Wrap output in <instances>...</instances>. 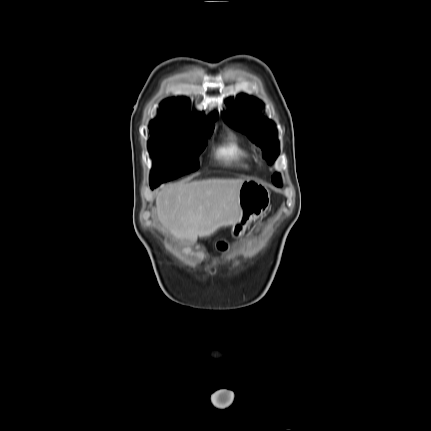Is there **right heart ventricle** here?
<instances>
[{
	"label": "right heart ventricle",
	"mask_w": 431,
	"mask_h": 431,
	"mask_svg": "<svg viewBox=\"0 0 431 431\" xmlns=\"http://www.w3.org/2000/svg\"><path fill=\"white\" fill-rule=\"evenodd\" d=\"M215 158L222 164L246 169L250 166L252 156L237 138L231 136L217 148Z\"/></svg>",
	"instance_id": "right-heart-ventricle-1"
}]
</instances>
